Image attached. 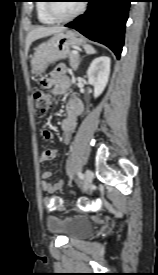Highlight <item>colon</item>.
I'll use <instances>...</instances> for the list:
<instances>
[{
	"mask_svg": "<svg viewBox=\"0 0 158 275\" xmlns=\"http://www.w3.org/2000/svg\"><path fill=\"white\" fill-rule=\"evenodd\" d=\"M41 84L43 87L47 88L48 81L46 79H41ZM33 102L35 105V114L38 117L44 116L52 106L53 99L49 93L44 90H37L33 93ZM44 206L48 210H60L63 206V202L59 197L56 196H45ZM79 206L82 210L88 211L92 209H97L100 207L99 202H92L88 199H80Z\"/></svg>",
	"mask_w": 158,
	"mask_h": 275,
	"instance_id": "obj_1",
	"label": "colon"
}]
</instances>
